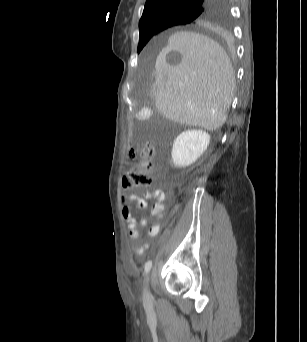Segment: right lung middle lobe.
<instances>
[{
    "label": "right lung middle lobe",
    "instance_id": "right-lung-middle-lobe-1",
    "mask_svg": "<svg viewBox=\"0 0 307 342\" xmlns=\"http://www.w3.org/2000/svg\"><path fill=\"white\" fill-rule=\"evenodd\" d=\"M199 14L200 11L197 9H184L162 14L154 26L140 31L138 52L143 49V47L155 34L172 26L188 24L196 19Z\"/></svg>",
    "mask_w": 307,
    "mask_h": 342
}]
</instances>
